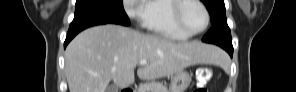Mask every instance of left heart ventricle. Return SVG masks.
Masks as SVG:
<instances>
[{
  "label": "left heart ventricle",
  "mask_w": 296,
  "mask_h": 92,
  "mask_svg": "<svg viewBox=\"0 0 296 92\" xmlns=\"http://www.w3.org/2000/svg\"><path fill=\"white\" fill-rule=\"evenodd\" d=\"M182 23L188 31L196 32L203 28L206 18L203 9L194 2H188L181 12Z\"/></svg>",
  "instance_id": "left-heart-ventricle-1"
}]
</instances>
